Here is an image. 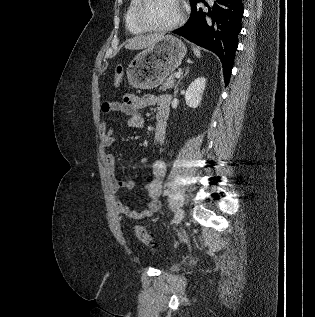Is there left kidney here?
Masks as SVG:
<instances>
[{
	"instance_id": "left-kidney-1",
	"label": "left kidney",
	"mask_w": 315,
	"mask_h": 317,
	"mask_svg": "<svg viewBox=\"0 0 315 317\" xmlns=\"http://www.w3.org/2000/svg\"><path fill=\"white\" fill-rule=\"evenodd\" d=\"M206 87V78L198 77L187 88L185 92L186 104L190 108H196L199 106L202 95Z\"/></svg>"
}]
</instances>
